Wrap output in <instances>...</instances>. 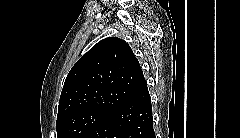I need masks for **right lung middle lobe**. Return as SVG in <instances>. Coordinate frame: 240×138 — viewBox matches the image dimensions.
Listing matches in <instances>:
<instances>
[{
    "label": "right lung middle lobe",
    "instance_id": "dd1d6c3e",
    "mask_svg": "<svg viewBox=\"0 0 240 138\" xmlns=\"http://www.w3.org/2000/svg\"><path fill=\"white\" fill-rule=\"evenodd\" d=\"M106 113L107 111L89 109L57 119V138H86Z\"/></svg>",
    "mask_w": 240,
    "mask_h": 138
}]
</instances>
